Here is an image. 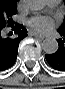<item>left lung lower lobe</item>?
Segmentation results:
<instances>
[{"instance_id": "1", "label": "left lung lower lobe", "mask_w": 65, "mask_h": 89, "mask_svg": "<svg viewBox=\"0 0 65 89\" xmlns=\"http://www.w3.org/2000/svg\"><path fill=\"white\" fill-rule=\"evenodd\" d=\"M63 38L57 40L59 44L58 50L54 54L45 55L49 65L60 71H65V33L58 31Z\"/></svg>"}]
</instances>
